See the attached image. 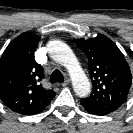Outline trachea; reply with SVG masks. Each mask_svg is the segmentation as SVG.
Returning a JSON list of instances; mask_svg holds the SVG:
<instances>
[{
	"label": "trachea",
	"mask_w": 133,
	"mask_h": 133,
	"mask_svg": "<svg viewBox=\"0 0 133 133\" xmlns=\"http://www.w3.org/2000/svg\"><path fill=\"white\" fill-rule=\"evenodd\" d=\"M63 81H64V77L62 73L59 70H54L50 77V82L51 83H55V82L62 83Z\"/></svg>",
	"instance_id": "trachea-1"
}]
</instances>
